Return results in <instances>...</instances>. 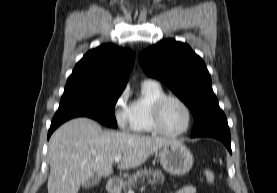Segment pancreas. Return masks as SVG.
I'll return each instance as SVG.
<instances>
[{"label": "pancreas", "mask_w": 277, "mask_h": 193, "mask_svg": "<svg viewBox=\"0 0 277 193\" xmlns=\"http://www.w3.org/2000/svg\"><path fill=\"white\" fill-rule=\"evenodd\" d=\"M138 179H141L142 182H145L147 180L150 184H157L160 182H164L165 177L163 173L158 169L153 168H142L136 171V173L132 174L128 177V180H126L122 184V189L124 193H127L128 190H131L133 186L137 184Z\"/></svg>", "instance_id": "pancreas-1"}]
</instances>
